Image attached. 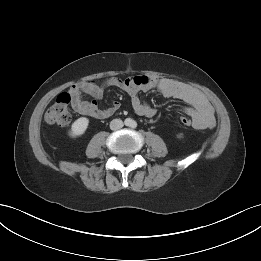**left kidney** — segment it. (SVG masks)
<instances>
[{
  "label": "left kidney",
  "instance_id": "left-kidney-1",
  "mask_svg": "<svg viewBox=\"0 0 261 261\" xmlns=\"http://www.w3.org/2000/svg\"><path fill=\"white\" fill-rule=\"evenodd\" d=\"M178 137H179V138H182L183 136H182V134H179Z\"/></svg>",
  "mask_w": 261,
  "mask_h": 261
}]
</instances>
